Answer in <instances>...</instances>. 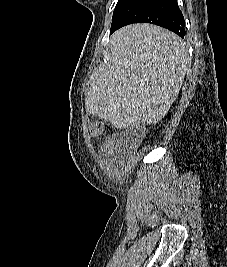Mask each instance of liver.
Instances as JSON below:
<instances>
[{"instance_id":"obj_1","label":"liver","mask_w":227,"mask_h":267,"mask_svg":"<svg viewBox=\"0 0 227 267\" xmlns=\"http://www.w3.org/2000/svg\"><path fill=\"white\" fill-rule=\"evenodd\" d=\"M111 60L90 79L86 110L117 129L160 121L182 87L189 57L176 34L134 24L110 39Z\"/></svg>"}]
</instances>
